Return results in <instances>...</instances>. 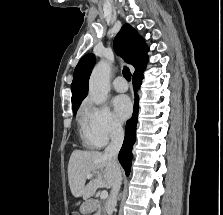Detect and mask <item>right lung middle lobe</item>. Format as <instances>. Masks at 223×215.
<instances>
[{
    "instance_id": "1",
    "label": "right lung middle lobe",
    "mask_w": 223,
    "mask_h": 215,
    "mask_svg": "<svg viewBox=\"0 0 223 215\" xmlns=\"http://www.w3.org/2000/svg\"><path fill=\"white\" fill-rule=\"evenodd\" d=\"M77 110H78V108H76V109H73V112H74V113H76V112H77Z\"/></svg>"
}]
</instances>
